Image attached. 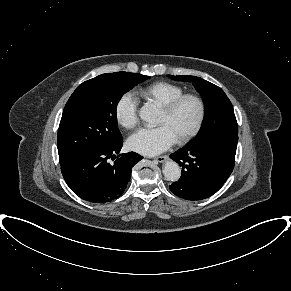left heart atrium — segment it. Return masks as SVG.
I'll return each mask as SVG.
<instances>
[{
  "instance_id": "left-heart-atrium-1",
  "label": "left heart atrium",
  "mask_w": 291,
  "mask_h": 291,
  "mask_svg": "<svg viewBox=\"0 0 291 291\" xmlns=\"http://www.w3.org/2000/svg\"><path fill=\"white\" fill-rule=\"evenodd\" d=\"M177 139L166 125L143 128L128 139L130 149L144 155H155L169 149Z\"/></svg>"
}]
</instances>
